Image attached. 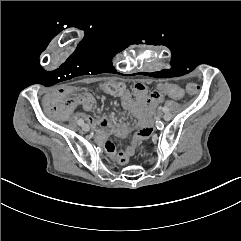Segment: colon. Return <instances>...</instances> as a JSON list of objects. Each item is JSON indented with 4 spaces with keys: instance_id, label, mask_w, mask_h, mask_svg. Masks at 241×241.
Segmentation results:
<instances>
[{
    "instance_id": "1",
    "label": "colon",
    "mask_w": 241,
    "mask_h": 241,
    "mask_svg": "<svg viewBox=\"0 0 241 241\" xmlns=\"http://www.w3.org/2000/svg\"><path fill=\"white\" fill-rule=\"evenodd\" d=\"M102 85V91L108 93L113 98L117 93H121L124 81L122 79H105ZM186 90L190 94H197L199 87L196 84H189ZM158 92L161 95H173L175 93V86L172 83L161 84L158 87Z\"/></svg>"
}]
</instances>
